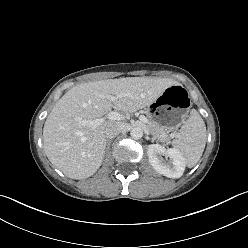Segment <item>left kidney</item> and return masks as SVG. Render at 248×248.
<instances>
[{"instance_id": "1", "label": "left kidney", "mask_w": 248, "mask_h": 248, "mask_svg": "<svg viewBox=\"0 0 248 248\" xmlns=\"http://www.w3.org/2000/svg\"><path fill=\"white\" fill-rule=\"evenodd\" d=\"M149 162L160 174L168 178H180L185 170V161L175 149H166L160 144H151L147 148ZM165 156L169 159H163Z\"/></svg>"}]
</instances>
